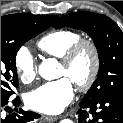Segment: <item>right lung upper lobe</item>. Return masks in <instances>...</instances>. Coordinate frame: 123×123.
<instances>
[{"instance_id":"right-lung-upper-lobe-1","label":"right lung upper lobe","mask_w":123,"mask_h":123,"mask_svg":"<svg viewBox=\"0 0 123 123\" xmlns=\"http://www.w3.org/2000/svg\"><path fill=\"white\" fill-rule=\"evenodd\" d=\"M9 18L19 19V20H24V21H32L35 19L44 18L52 25L58 19V16H37V15L22 13V14H12V15L2 16L1 20H5Z\"/></svg>"}]
</instances>
